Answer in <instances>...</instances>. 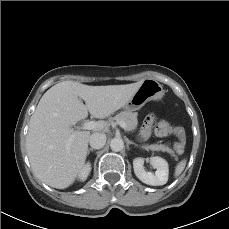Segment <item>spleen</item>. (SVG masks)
I'll use <instances>...</instances> for the list:
<instances>
[{"instance_id":"3e777b00","label":"spleen","mask_w":229,"mask_h":229,"mask_svg":"<svg viewBox=\"0 0 229 229\" xmlns=\"http://www.w3.org/2000/svg\"><path fill=\"white\" fill-rule=\"evenodd\" d=\"M185 166H186V160H182L181 162L177 164V166L175 167V176L176 177L179 176L183 172Z\"/></svg>"}]
</instances>
